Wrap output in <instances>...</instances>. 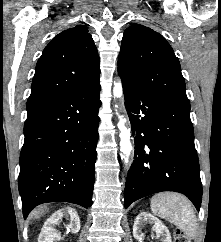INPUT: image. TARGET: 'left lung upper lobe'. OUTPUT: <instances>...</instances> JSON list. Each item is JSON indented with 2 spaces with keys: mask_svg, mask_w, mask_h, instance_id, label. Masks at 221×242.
Masks as SVG:
<instances>
[{
  "mask_svg": "<svg viewBox=\"0 0 221 242\" xmlns=\"http://www.w3.org/2000/svg\"><path fill=\"white\" fill-rule=\"evenodd\" d=\"M118 71L151 95L190 109L179 60L154 30L132 24L124 31Z\"/></svg>",
  "mask_w": 221,
  "mask_h": 242,
  "instance_id": "5c2ea615",
  "label": "left lung upper lobe"
}]
</instances>
